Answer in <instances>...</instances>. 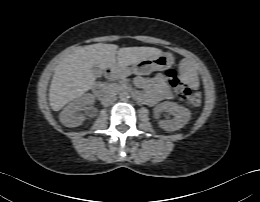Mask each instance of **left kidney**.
Returning a JSON list of instances; mask_svg holds the SVG:
<instances>
[{"label": "left kidney", "instance_id": "5707ae66", "mask_svg": "<svg viewBox=\"0 0 260 202\" xmlns=\"http://www.w3.org/2000/svg\"><path fill=\"white\" fill-rule=\"evenodd\" d=\"M163 111L169 112L174 116L172 120L159 121L160 127L166 131L172 132L181 129L191 118L190 110L175 102H163L154 108V114L156 117H158Z\"/></svg>", "mask_w": 260, "mask_h": 202}]
</instances>
